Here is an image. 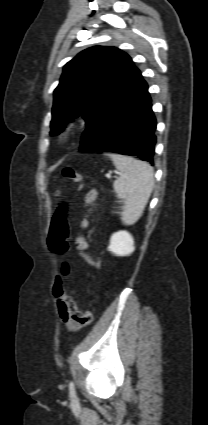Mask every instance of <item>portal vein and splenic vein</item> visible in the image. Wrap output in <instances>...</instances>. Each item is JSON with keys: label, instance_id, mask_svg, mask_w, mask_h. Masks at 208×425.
<instances>
[{"label": "portal vein and splenic vein", "instance_id": "obj_1", "mask_svg": "<svg viewBox=\"0 0 208 425\" xmlns=\"http://www.w3.org/2000/svg\"><path fill=\"white\" fill-rule=\"evenodd\" d=\"M117 174H120V173H119V172H117ZM106 177H107V178H110L111 176H110V175H106Z\"/></svg>", "mask_w": 208, "mask_h": 425}]
</instances>
